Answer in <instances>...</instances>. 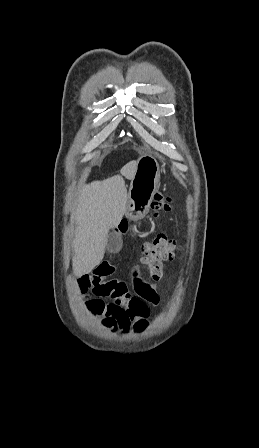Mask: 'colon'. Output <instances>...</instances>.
<instances>
[{"label":"colon","mask_w":259,"mask_h":448,"mask_svg":"<svg viewBox=\"0 0 259 448\" xmlns=\"http://www.w3.org/2000/svg\"><path fill=\"white\" fill-rule=\"evenodd\" d=\"M155 216L167 213L171 209V198L157 193L152 203ZM143 263L153 282H157L162 276L163 264L172 261L177 256L178 244L165 235H158L152 241L147 242L142 247Z\"/></svg>","instance_id":"5ec220e1"}]
</instances>
